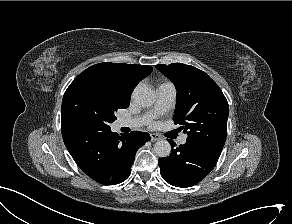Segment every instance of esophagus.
Listing matches in <instances>:
<instances>
[{"label":"esophagus","instance_id":"34e87169","mask_svg":"<svg viewBox=\"0 0 292 224\" xmlns=\"http://www.w3.org/2000/svg\"><path fill=\"white\" fill-rule=\"evenodd\" d=\"M150 137H151V141H153V142L161 139V136L157 133H151Z\"/></svg>","mask_w":292,"mask_h":224}]
</instances>
